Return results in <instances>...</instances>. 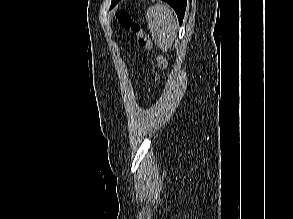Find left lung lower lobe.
<instances>
[{
  "label": "left lung lower lobe",
  "mask_w": 293,
  "mask_h": 219,
  "mask_svg": "<svg viewBox=\"0 0 293 219\" xmlns=\"http://www.w3.org/2000/svg\"><path fill=\"white\" fill-rule=\"evenodd\" d=\"M163 1L167 2L171 7H173V9L175 10L177 14L179 23L181 24L184 18L187 0H163ZM118 2L119 0L113 3L111 5V8L114 7Z\"/></svg>",
  "instance_id": "left-lung-lower-lobe-1"
}]
</instances>
